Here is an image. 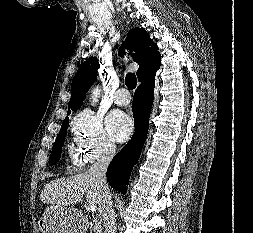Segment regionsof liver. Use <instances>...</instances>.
Returning a JSON list of instances; mask_svg holds the SVG:
<instances>
[{
    "mask_svg": "<svg viewBox=\"0 0 253 233\" xmlns=\"http://www.w3.org/2000/svg\"><path fill=\"white\" fill-rule=\"evenodd\" d=\"M100 186L94 176L84 172L68 178L50 181L43 188L40 200L57 206H67L80 202L86 196L87 202L98 204Z\"/></svg>",
    "mask_w": 253,
    "mask_h": 233,
    "instance_id": "6515ba94",
    "label": "liver"
}]
</instances>
